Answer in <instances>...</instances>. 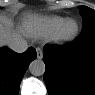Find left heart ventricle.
Segmentation results:
<instances>
[{
	"label": "left heart ventricle",
	"mask_w": 95,
	"mask_h": 95,
	"mask_svg": "<svg viewBox=\"0 0 95 95\" xmlns=\"http://www.w3.org/2000/svg\"><path fill=\"white\" fill-rule=\"evenodd\" d=\"M76 29V25L74 22L68 24L67 28H66V34H72Z\"/></svg>",
	"instance_id": "left-heart-ventricle-1"
}]
</instances>
